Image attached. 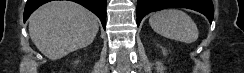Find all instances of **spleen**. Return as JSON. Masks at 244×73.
I'll return each instance as SVG.
<instances>
[{
    "label": "spleen",
    "mask_w": 244,
    "mask_h": 73,
    "mask_svg": "<svg viewBox=\"0 0 244 73\" xmlns=\"http://www.w3.org/2000/svg\"><path fill=\"white\" fill-rule=\"evenodd\" d=\"M149 24L156 33L169 39L188 44L198 39L197 25L181 10L165 9L156 12L151 15Z\"/></svg>",
    "instance_id": "obj_1"
}]
</instances>
